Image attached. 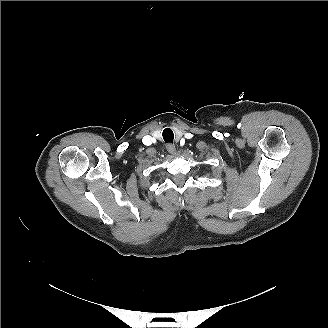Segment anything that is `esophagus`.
<instances>
[{"instance_id": "obj_1", "label": "esophagus", "mask_w": 328, "mask_h": 328, "mask_svg": "<svg viewBox=\"0 0 328 328\" xmlns=\"http://www.w3.org/2000/svg\"><path fill=\"white\" fill-rule=\"evenodd\" d=\"M166 149H167V151H168L170 154H172V155H175V154L177 153L175 146L172 145V144H168V145L166 146Z\"/></svg>"}]
</instances>
